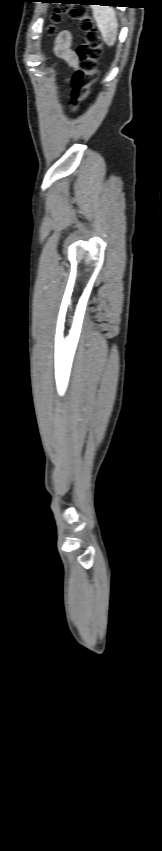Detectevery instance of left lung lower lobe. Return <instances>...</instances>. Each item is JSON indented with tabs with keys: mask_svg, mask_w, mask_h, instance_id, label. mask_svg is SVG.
Masks as SVG:
<instances>
[{
	"mask_svg": "<svg viewBox=\"0 0 162 851\" xmlns=\"http://www.w3.org/2000/svg\"><path fill=\"white\" fill-rule=\"evenodd\" d=\"M116 1H120V0H72V1L60 2V3H63V4L64 3H70V4L71 3H78L80 5L91 4V3H104L106 5L115 6V4H113V3L116 2ZM51 2L53 3L54 1H51ZM100 5H102V4H100Z\"/></svg>",
	"mask_w": 162,
	"mask_h": 851,
	"instance_id": "1",
	"label": "left lung lower lobe"
}]
</instances>
